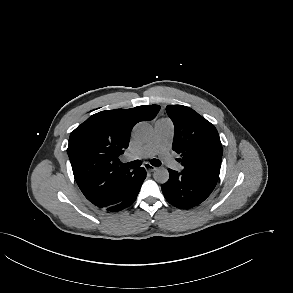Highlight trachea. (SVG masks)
Returning a JSON list of instances; mask_svg holds the SVG:
<instances>
[{"label":"trachea","instance_id":"1","mask_svg":"<svg viewBox=\"0 0 293 293\" xmlns=\"http://www.w3.org/2000/svg\"><path fill=\"white\" fill-rule=\"evenodd\" d=\"M150 163H151V165L156 166V167L161 165V161L158 160V159H152L150 161ZM120 165L123 168H138V167H140L142 165V162L140 160H135V161H132V162H129V163H126V164L120 163Z\"/></svg>","mask_w":293,"mask_h":293}]
</instances>
